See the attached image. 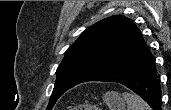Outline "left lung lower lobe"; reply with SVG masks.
<instances>
[{
	"instance_id": "1",
	"label": "left lung lower lobe",
	"mask_w": 171,
	"mask_h": 110,
	"mask_svg": "<svg viewBox=\"0 0 171 110\" xmlns=\"http://www.w3.org/2000/svg\"><path fill=\"white\" fill-rule=\"evenodd\" d=\"M91 81L117 82L142 97L153 110H161V91L155 69V58L144 41L118 65Z\"/></svg>"
}]
</instances>
